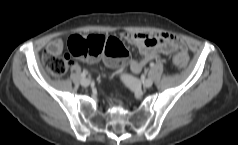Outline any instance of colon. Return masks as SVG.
Instances as JSON below:
<instances>
[{
	"label": "colon",
	"mask_w": 238,
	"mask_h": 145,
	"mask_svg": "<svg viewBox=\"0 0 238 145\" xmlns=\"http://www.w3.org/2000/svg\"><path fill=\"white\" fill-rule=\"evenodd\" d=\"M69 54L84 58L95 59L104 56L106 62L112 67H122L129 62V52L124 44L115 37L101 35L72 36L68 42ZM69 54L60 57L44 52L42 55L43 65L54 75H63L70 64ZM173 63L178 68L186 67L188 57L184 52L173 56Z\"/></svg>",
	"instance_id": "colon-1"
}]
</instances>
